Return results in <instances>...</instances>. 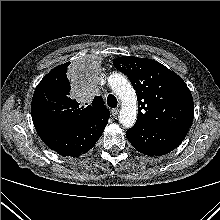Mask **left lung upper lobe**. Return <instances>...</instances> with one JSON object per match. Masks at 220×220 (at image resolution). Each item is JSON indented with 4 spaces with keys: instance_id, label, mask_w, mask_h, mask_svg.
<instances>
[{
    "instance_id": "1",
    "label": "left lung upper lobe",
    "mask_w": 220,
    "mask_h": 220,
    "mask_svg": "<svg viewBox=\"0 0 220 220\" xmlns=\"http://www.w3.org/2000/svg\"><path fill=\"white\" fill-rule=\"evenodd\" d=\"M113 64L128 76L136 90V124L153 128L191 127L193 98L185 82L176 73L155 60L134 56L117 58Z\"/></svg>"
}]
</instances>
